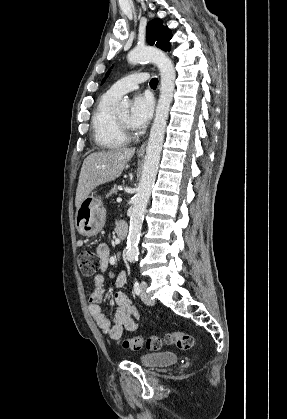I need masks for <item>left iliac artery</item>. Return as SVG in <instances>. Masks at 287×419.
Here are the masks:
<instances>
[{
	"mask_svg": "<svg viewBox=\"0 0 287 419\" xmlns=\"http://www.w3.org/2000/svg\"><path fill=\"white\" fill-rule=\"evenodd\" d=\"M140 291L141 290H140L139 282L137 280H135V282H134V292H135V294L139 295Z\"/></svg>",
	"mask_w": 287,
	"mask_h": 419,
	"instance_id": "obj_1",
	"label": "left iliac artery"
}]
</instances>
